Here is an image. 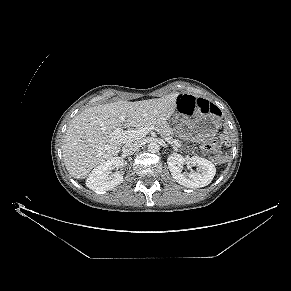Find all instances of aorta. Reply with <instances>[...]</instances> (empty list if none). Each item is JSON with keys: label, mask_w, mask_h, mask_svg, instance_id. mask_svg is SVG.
<instances>
[{"label": "aorta", "mask_w": 291, "mask_h": 291, "mask_svg": "<svg viewBox=\"0 0 291 291\" xmlns=\"http://www.w3.org/2000/svg\"><path fill=\"white\" fill-rule=\"evenodd\" d=\"M147 149L150 153H156L160 150V146L156 142H150Z\"/></svg>", "instance_id": "1"}]
</instances>
